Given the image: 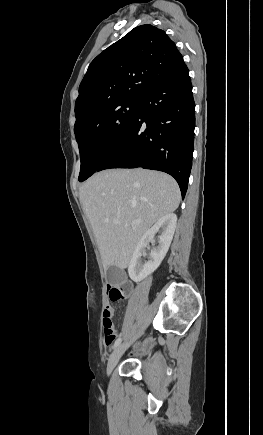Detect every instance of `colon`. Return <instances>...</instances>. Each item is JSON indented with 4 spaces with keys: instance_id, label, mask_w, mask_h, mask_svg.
Instances as JSON below:
<instances>
[{
    "instance_id": "colon-1",
    "label": "colon",
    "mask_w": 263,
    "mask_h": 435,
    "mask_svg": "<svg viewBox=\"0 0 263 435\" xmlns=\"http://www.w3.org/2000/svg\"><path fill=\"white\" fill-rule=\"evenodd\" d=\"M128 292L126 285H109L108 298L111 301L122 300ZM103 327H104V340L107 348H112V342L115 339V328L112 320V314L107 311L103 312Z\"/></svg>"
}]
</instances>
